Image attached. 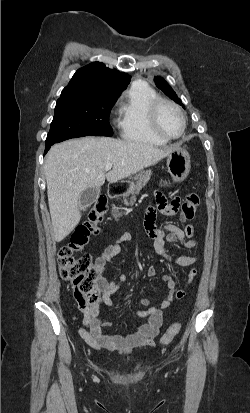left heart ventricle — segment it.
I'll use <instances>...</instances> for the list:
<instances>
[{"label":"left heart ventricle","mask_w":250,"mask_h":413,"mask_svg":"<svg viewBox=\"0 0 250 413\" xmlns=\"http://www.w3.org/2000/svg\"><path fill=\"white\" fill-rule=\"evenodd\" d=\"M158 123L160 129L171 136L180 134L182 130V120L179 114L167 105L161 107L158 114Z\"/></svg>","instance_id":"b2bd125f"}]
</instances>
